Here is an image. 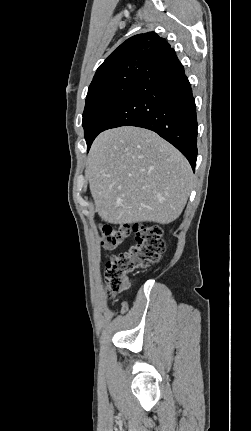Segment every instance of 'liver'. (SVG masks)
I'll list each match as a JSON object with an SVG mask.
<instances>
[{"mask_svg": "<svg viewBox=\"0 0 251 431\" xmlns=\"http://www.w3.org/2000/svg\"><path fill=\"white\" fill-rule=\"evenodd\" d=\"M95 210L107 223L168 224L182 213L193 172L156 133L124 126L100 133L86 164Z\"/></svg>", "mask_w": 251, "mask_h": 431, "instance_id": "1", "label": "liver"}]
</instances>
